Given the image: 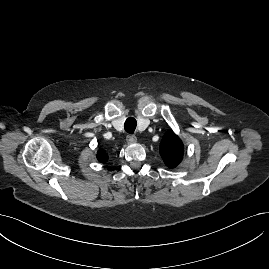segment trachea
I'll return each mask as SVG.
<instances>
[{"label":"trachea","mask_w":269,"mask_h":269,"mask_svg":"<svg viewBox=\"0 0 269 269\" xmlns=\"http://www.w3.org/2000/svg\"><path fill=\"white\" fill-rule=\"evenodd\" d=\"M137 126V121L133 117H129L126 119L124 124V129L127 133L133 134Z\"/></svg>","instance_id":"3493384b"}]
</instances>
